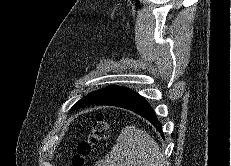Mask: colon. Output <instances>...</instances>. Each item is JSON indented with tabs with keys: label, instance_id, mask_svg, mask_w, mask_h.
<instances>
[{
	"label": "colon",
	"instance_id": "5ec220e1",
	"mask_svg": "<svg viewBox=\"0 0 231 166\" xmlns=\"http://www.w3.org/2000/svg\"><path fill=\"white\" fill-rule=\"evenodd\" d=\"M110 128L106 117L98 114L92 125L90 134L80 142L77 154L73 158V166H84L94 149L109 136Z\"/></svg>",
	"mask_w": 231,
	"mask_h": 166
}]
</instances>
